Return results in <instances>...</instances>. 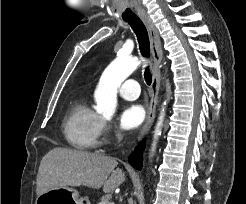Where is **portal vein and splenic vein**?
I'll use <instances>...</instances> for the list:
<instances>
[{"mask_svg": "<svg viewBox=\"0 0 246 204\" xmlns=\"http://www.w3.org/2000/svg\"><path fill=\"white\" fill-rule=\"evenodd\" d=\"M110 204H115L114 202H111Z\"/></svg>", "mask_w": 246, "mask_h": 204, "instance_id": "portal-vein-and-splenic-vein-1", "label": "portal vein and splenic vein"}]
</instances>
